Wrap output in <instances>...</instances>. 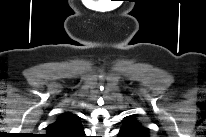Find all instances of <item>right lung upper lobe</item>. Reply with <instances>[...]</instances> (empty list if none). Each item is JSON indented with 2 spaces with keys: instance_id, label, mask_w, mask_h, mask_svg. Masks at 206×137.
<instances>
[{
  "instance_id": "cb5924a9",
  "label": "right lung upper lobe",
  "mask_w": 206,
  "mask_h": 137,
  "mask_svg": "<svg viewBox=\"0 0 206 137\" xmlns=\"http://www.w3.org/2000/svg\"><path fill=\"white\" fill-rule=\"evenodd\" d=\"M47 133L49 137H82L84 129L77 115L65 112L47 127Z\"/></svg>"
}]
</instances>
